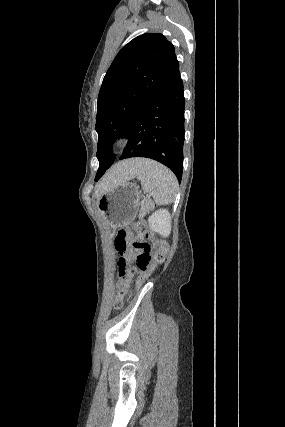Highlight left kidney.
<instances>
[{"instance_id": "1", "label": "left kidney", "mask_w": 285, "mask_h": 427, "mask_svg": "<svg viewBox=\"0 0 285 427\" xmlns=\"http://www.w3.org/2000/svg\"><path fill=\"white\" fill-rule=\"evenodd\" d=\"M149 227L159 233L162 237H168L171 233V216L168 210L159 209L149 218Z\"/></svg>"}]
</instances>
